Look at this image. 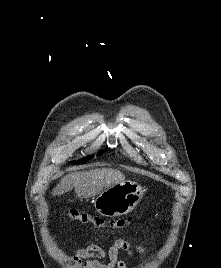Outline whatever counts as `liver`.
Instances as JSON below:
<instances>
[{"mask_svg":"<svg viewBox=\"0 0 221 268\" xmlns=\"http://www.w3.org/2000/svg\"><path fill=\"white\" fill-rule=\"evenodd\" d=\"M125 181V175L112 168H97L79 171L64 176L52 194L63 195L75 188L76 195L81 199L94 197L115 184Z\"/></svg>","mask_w":221,"mask_h":268,"instance_id":"liver-1","label":"liver"}]
</instances>
